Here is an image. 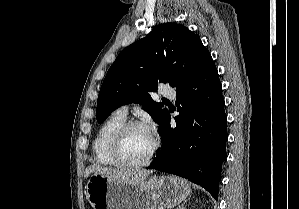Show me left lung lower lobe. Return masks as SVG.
<instances>
[{
  "label": "left lung lower lobe",
  "mask_w": 299,
  "mask_h": 209,
  "mask_svg": "<svg viewBox=\"0 0 299 209\" xmlns=\"http://www.w3.org/2000/svg\"><path fill=\"white\" fill-rule=\"evenodd\" d=\"M176 93V127H171L168 112L159 130L162 148L149 168L184 177L218 199L228 137L222 86L212 57L176 87Z\"/></svg>",
  "instance_id": "obj_1"
}]
</instances>
